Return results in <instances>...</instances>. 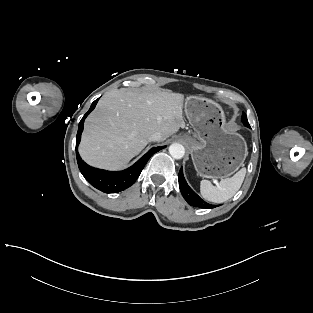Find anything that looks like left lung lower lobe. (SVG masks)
Segmentation results:
<instances>
[{
  "mask_svg": "<svg viewBox=\"0 0 313 313\" xmlns=\"http://www.w3.org/2000/svg\"><path fill=\"white\" fill-rule=\"evenodd\" d=\"M179 187L184 199L188 202L189 205L200 208H214L216 205H211L203 201L187 184L182 168L178 174Z\"/></svg>",
  "mask_w": 313,
  "mask_h": 313,
  "instance_id": "1",
  "label": "left lung lower lobe"
}]
</instances>
